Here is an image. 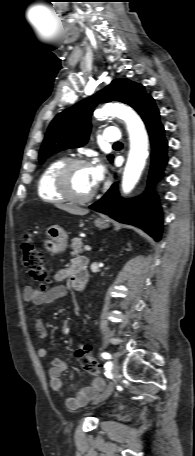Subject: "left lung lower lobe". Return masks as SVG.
Returning <instances> with one entry per match:
<instances>
[{"label": "left lung lower lobe", "instance_id": "left-lung-lower-lobe-1", "mask_svg": "<svg viewBox=\"0 0 195 456\" xmlns=\"http://www.w3.org/2000/svg\"><path fill=\"white\" fill-rule=\"evenodd\" d=\"M137 112L145 122L152 146L148 189L140 197L123 200L118 194L117 185L113 184L102 199L89 208L107 214L121 223L138 226L159 241L162 213L158 199L152 194V186L157 179L162 177L164 166L167 163V141L164 137V127L159 120V110L152 97L147 99Z\"/></svg>", "mask_w": 195, "mask_h": 456}]
</instances>
